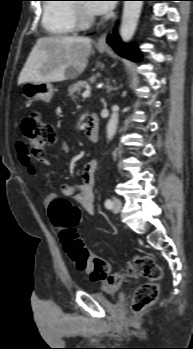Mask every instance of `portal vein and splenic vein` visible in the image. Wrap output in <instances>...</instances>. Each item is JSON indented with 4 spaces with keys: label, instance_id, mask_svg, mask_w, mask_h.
<instances>
[{
    "label": "portal vein and splenic vein",
    "instance_id": "18ae733b",
    "mask_svg": "<svg viewBox=\"0 0 193 349\" xmlns=\"http://www.w3.org/2000/svg\"><path fill=\"white\" fill-rule=\"evenodd\" d=\"M90 93H91L90 89H86V90L82 93V97H83V98H86V97H88V96L90 95Z\"/></svg>",
    "mask_w": 193,
    "mask_h": 349
}]
</instances>
